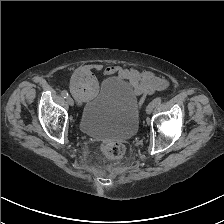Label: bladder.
I'll return each instance as SVG.
<instances>
[{
  "label": "bladder",
  "mask_w": 224,
  "mask_h": 224,
  "mask_svg": "<svg viewBox=\"0 0 224 224\" xmlns=\"http://www.w3.org/2000/svg\"><path fill=\"white\" fill-rule=\"evenodd\" d=\"M139 126L136 98L113 79L101 83L97 94L82 107L80 130L93 138L128 140Z\"/></svg>",
  "instance_id": "1"
}]
</instances>
